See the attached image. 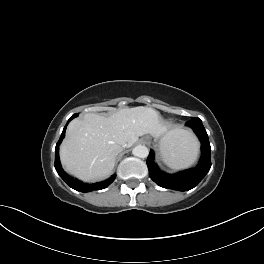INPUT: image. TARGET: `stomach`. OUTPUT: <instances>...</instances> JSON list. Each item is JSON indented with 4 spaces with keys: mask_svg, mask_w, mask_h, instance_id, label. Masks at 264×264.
Masks as SVG:
<instances>
[{
    "mask_svg": "<svg viewBox=\"0 0 264 264\" xmlns=\"http://www.w3.org/2000/svg\"><path fill=\"white\" fill-rule=\"evenodd\" d=\"M146 139H149V137H146ZM171 141V140H170ZM167 139L163 138L161 139V142H160V147L163 145V144H169V142Z\"/></svg>",
    "mask_w": 264,
    "mask_h": 264,
    "instance_id": "stomach-1",
    "label": "stomach"
}]
</instances>
